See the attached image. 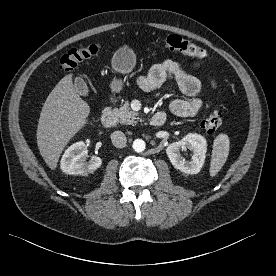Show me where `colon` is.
<instances>
[{"label":"colon","instance_id":"1","mask_svg":"<svg viewBox=\"0 0 276 276\" xmlns=\"http://www.w3.org/2000/svg\"><path fill=\"white\" fill-rule=\"evenodd\" d=\"M162 45L168 50L181 52L194 59L202 60L206 57V51L203 48L179 35H168L163 39ZM99 51L100 45L95 42H89L83 46L73 48L61 58L60 68L63 71H72L80 62L94 57ZM221 124L220 107L218 104H215L209 114L202 120L201 127L207 134L215 135Z\"/></svg>","mask_w":276,"mask_h":276}]
</instances>
